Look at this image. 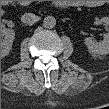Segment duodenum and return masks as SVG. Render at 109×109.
Segmentation results:
<instances>
[{
  "label": "duodenum",
  "instance_id": "1",
  "mask_svg": "<svg viewBox=\"0 0 109 109\" xmlns=\"http://www.w3.org/2000/svg\"><path fill=\"white\" fill-rule=\"evenodd\" d=\"M4 4L8 5V2L4 1ZM56 5L59 6V7H69V6H72L73 3L70 2V1H57Z\"/></svg>",
  "mask_w": 109,
  "mask_h": 109
}]
</instances>
